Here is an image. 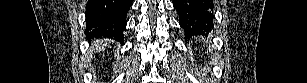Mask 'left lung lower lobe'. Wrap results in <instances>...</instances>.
<instances>
[{
    "label": "left lung lower lobe",
    "mask_w": 307,
    "mask_h": 83,
    "mask_svg": "<svg viewBox=\"0 0 307 83\" xmlns=\"http://www.w3.org/2000/svg\"><path fill=\"white\" fill-rule=\"evenodd\" d=\"M179 14V23L185 32V39L192 35L208 36L213 29L212 0H173Z\"/></svg>",
    "instance_id": "1"
}]
</instances>
